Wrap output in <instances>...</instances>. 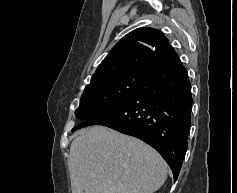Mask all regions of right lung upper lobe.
<instances>
[{
	"label": "right lung upper lobe",
	"mask_w": 237,
	"mask_h": 193,
	"mask_svg": "<svg viewBox=\"0 0 237 193\" xmlns=\"http://www.w3.org/2000/svg\"><path fill=\"white\" fill-rule=\"evenodd\" d=\"M174 51L168 39L153 28H139L123 37L98 66L91 82L129 73H146L165 54Z\"/></svg>",
	"instance_id": "cb5924a9"
}]
</instances>
